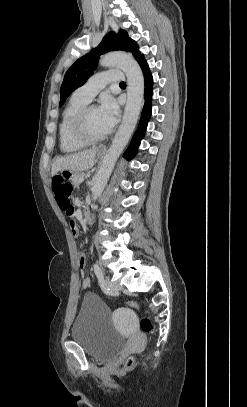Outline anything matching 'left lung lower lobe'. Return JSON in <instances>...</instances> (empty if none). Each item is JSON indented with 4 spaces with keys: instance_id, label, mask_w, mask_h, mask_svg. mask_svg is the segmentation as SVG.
Wrapping results in <instances>:
<instances>
[{
    "instance_id": "1",
    "label": "left lung lower lobe",
    "mask_w": 247,
    "mask_h": 407,
    "mask_svg": "<svg viewBox=\"0 0 247 407\" xmlns=\"http://www.w3.org/2000/svg\"><path fill=\"white\" fill-rule=\"evenodd\" d=\"M137 61L144 73L145 78V104L143 107L142 116L140 119L138 129L135 132L128 149L124 153V157L127 160L132 159L137 154L138 147L146 131L147 122L151 116V97H152L153 78L144 57L141 56Z\"/></svg>"
}]
</instances>
